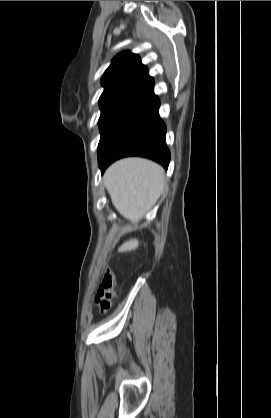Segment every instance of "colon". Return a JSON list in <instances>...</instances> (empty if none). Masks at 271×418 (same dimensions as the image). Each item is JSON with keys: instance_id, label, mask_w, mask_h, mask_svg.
Returning a JSON list of instances; mask_svg holds the SVG:
<instances>
[{"instance_id": "1", "label": "colon", "mask_w": 271, "mask_h": 418, "mask_svg": "<svg viewBox=\"0 0 271 418\" xmlns=\"http://www.w3.org/2000/svg\"><path fill=\"white\" fill-rule=\"evenodd\" d=\"M114 295V276L109 270H107L99 284L98 291L95 296V303L100 312L105 313L109 309Z\"/></svg>"}]
</instances>
